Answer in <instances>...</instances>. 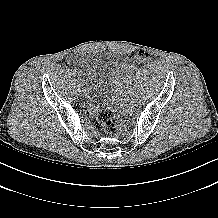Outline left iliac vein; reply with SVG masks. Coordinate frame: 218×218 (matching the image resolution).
Returning <instances> with one entry per match:
<instances>
[{
  "mask_svg": "<svg viewBox=\"0 0 218 218\" xmlns=\"http://www.w3.org/2000/svg\"><path fill=\"white\" fill-rule=\"evenodd\" d=\"M127 102H132V97H127Z\"/></svg>",
  "mask_w": 218,
  "mask_h": 218,
  "instance_id": "left-iliac-vein-1",
  "label": "left iliac vein"
}]
</instances>
